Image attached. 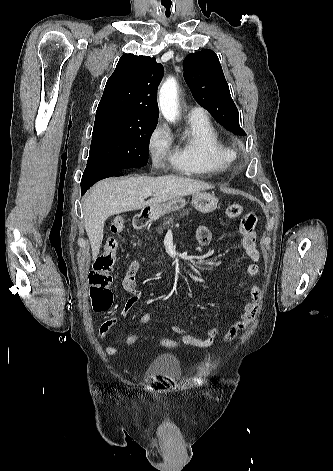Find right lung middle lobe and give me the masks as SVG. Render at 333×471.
Segmentation results:
<instances>
[{"label": "right lung middle lobe", "mask_w": 333, "mask_h": 471, "mask_svg": "<svg viewBox=\"0 0 333 471\" xmlns=\"http://www.w3.org/2000/svg\"><path fill=\"white\" fill-rule=\"evenodd\" d=\"M158 121L122 116L96 117L86 169L124 170L143 167Z\"/></svg>", "instance_id": "dd1d6c3e"}]
</instances>
